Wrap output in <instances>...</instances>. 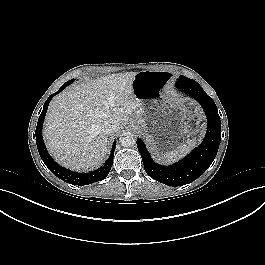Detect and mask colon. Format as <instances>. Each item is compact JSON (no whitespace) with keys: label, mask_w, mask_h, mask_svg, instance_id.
<instances>
[{"label":"colon","mask_w":265,"mask_h":265,"mask_svg":"<svg viewBox=\"0 0 265 265\" xmlns=\"http://www.w3.org/2000/svg\"><path fill=\"white\" fill-rule=\"evenodd\" d=\"M199 125V118L197 115H193L189 121V127L191 131H195Z\"/></svg>","instance_id":"obj_1"}]
</instances>
